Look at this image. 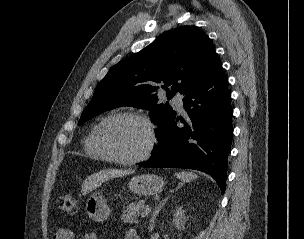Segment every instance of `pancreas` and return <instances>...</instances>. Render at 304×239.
I'll return each mask as SVG.
<instances>
[{"instance_id": "1", "label": "pancreas", "mask_w": 304, "mask_h": 239, "mask_svg": "<svg viewBox=\"0 0 304 239\" xmlns=\"http://www.w3.org/2000/svg\"><path fill=\"white\" fill-rule=\"evenodd\" d=\"M144 203H131L126 209L122 212L121 220L125 223H134L137 222V217L140 214V210L145 208Z\"/></svg>"}]
</instances>
